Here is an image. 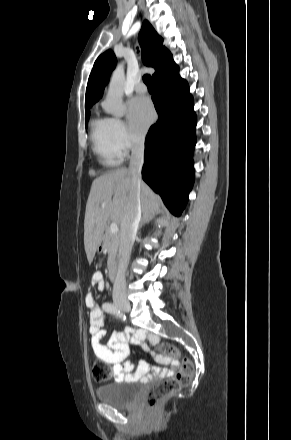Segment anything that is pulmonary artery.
<instances>
[{"label":"pulmonary artery","instance_id":"pulmonary-artery-1","mask_svg":"<svg viewBox=\"0 0 291 440\" xmlns=\"http://www.w3.org/2000/svg\"><path fill=\"white\" fill-rule=\"evenodd\" d=\"M135 91L139 94H144L147 92V86L143 81H139L135 86Z\"/></svg>","mask_w":291,"mask_h":440}]
</instances>
